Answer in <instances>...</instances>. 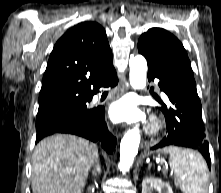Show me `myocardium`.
<instances>
[{"instance_id":"1","label":"myocardium","mask_w":221,"mask_h":193,"mask_svg":"<svg viewBox=\"0 0 221 193\" xmlns=\"http://www.w3.org/2000/svg\"><path fill=\"white\" fill-rule=\"evenodd\" d=\"M162 130V123L157 117H152L146 127V133L150 136L158 135Z\"/></svg>"}]
</instances>
